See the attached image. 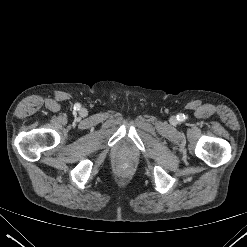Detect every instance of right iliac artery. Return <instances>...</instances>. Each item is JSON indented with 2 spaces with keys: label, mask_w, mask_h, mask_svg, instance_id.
Returning a JSON list of instances; mask_svg holds the SVG:
<instances>
[{
  "label": "right iliac artery",
  "mask_w": 247,
  "mask_h": 247,
  "mask_svg": "<svg viewBox=\"0 0 247 247\" xmlns=\"http://www.w3.org/2000/svg\"><path fill=\"white\" fill-rule=\"evenodd\" d=\"M79 108H80L79 104H76L75 107H74V109H77V110H79Z\"/></svg>",
  "instance_id": "obj_1"
}]
</instances>
